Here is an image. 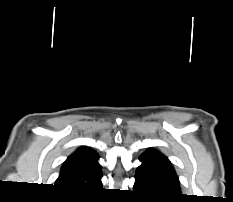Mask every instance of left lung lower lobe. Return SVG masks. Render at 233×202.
<instances>
[{"label": "left lung lower lobe", "mask_w": 233, "mask_h": 202, "mask_svg": "<svg viewBox=\"0 0 233 202\" xmlns=\"http://www.w3.org/2000/svg\"><path fill=\"white\" fill-rule=\"evenodd\" d=\"M133 191L143 198L155 202H178L183 198L180 191L170 187L155 185L142 174L135 175Z\"/></svg>", "instance_id": "obj_1"}]
</instances>
